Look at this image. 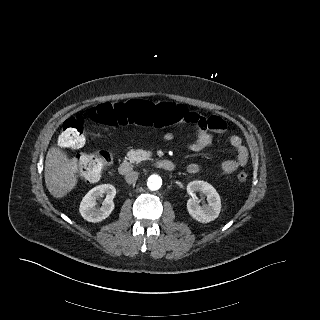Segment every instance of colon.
<instances>
[{
  "label": "colon",
  "instance_id": "1",
  "mask_svg": "<svg viewBox=\"0 0 320 320\" xmlns=\"http://www.w3.org/2000/svg\"><path fill=\"white\" fill-rule=\"evenodd\" d=\"M88 117L95 122L119 126L138 124L148 127L162 128L178 123L183 117V107L167 102L154 104L142 99H131L121 103H102L92 107ZM85 120L71 117L64 121L59 141L65 148H80L85 142ZM111 156L106 151L80 153L74 158L77 172L89 181L100 179L111 164ZM248 174L240 172L237 179L246 181Z\"/></svg>",
  "mask_w": 320,
  "mask_h": 320
}]
</instances>
